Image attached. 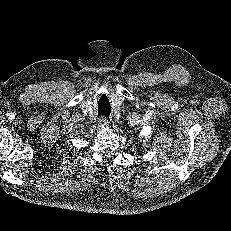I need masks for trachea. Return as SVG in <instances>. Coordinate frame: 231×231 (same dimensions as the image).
I'll use <instances>...</instances> for the list:
<instances>
[{
    "mask_svg": "<svg viewBox=\"0 0 231 231\" xmlns=\"http://www.w3.org/2000/svg\"><path fill=\"white\" fill-rule=\"evenodd\" d=\"M109 114H110L109 108L99 109V111H98V116H100V115L109 116Z\"/></svg>",
    "mask_w": 231,
    "mask_h": 231,
    "instance_id": "obj_1",
    "label": "trachea"
}]
</instances>
